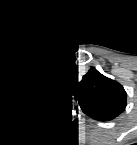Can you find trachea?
<instances>
[{
	"label": "trachea",
	"instance_id": "obj_1",
	"mask_svg": "<svg viewBox=\"0 0 137 145\" xmlns=\"http://www.w3.org/2000/svg\"><path fill=\"white\" fill-rule=\"evenodd\" d=\"M61 80L64 84H71V76L69 74H64Z\"/></svg>",
	"mask_w": 137,
	"mask_h": 145
}]
</instances>
